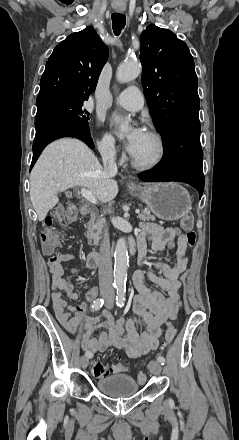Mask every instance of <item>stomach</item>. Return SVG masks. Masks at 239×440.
<instances>
[{
	"label": "stomach",
	"instance_id": "0dacf381",
	"mask_svg": "<svg viewBox=\"0 0 239 440\" xmlns=\"http://www.w3.org/2000/svg\"><path fill=\"white\" fill-rule=\"evenodd\" d=\"M128 188L132 192H137L141 200L147 204V208L160 220H168V222L179 220L192 208L189 192L175 182L152 184L147 188H132V186Z\"/></svg>",
	"mask_w": 239,
	"mask_h": 440
}]
</instances>
